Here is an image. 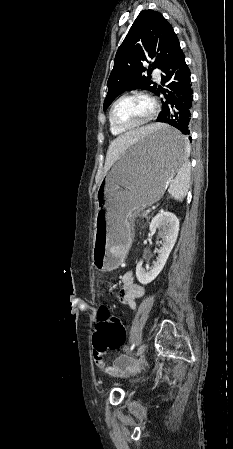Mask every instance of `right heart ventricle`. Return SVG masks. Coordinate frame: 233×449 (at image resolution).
I'll return each mask as SVG.
<instances>
[{
	"label": "right heart ventricle",
	"mask_w": 233,
	"mask_h": 449,
	"mask_svg": "<svg viewBox=\"0 0 233 449\" xmlns=\"http://www.w3.org/2000/svg\"><path fill=\"white\" fill-rule=\"evenodd\" d=\"M110 132L114 136H118V135H121L122 133H124V131H119V130L115 129L111 124H110Z\"/></svg>",
	"instance_id": "obj_1"
}]
</instances>
